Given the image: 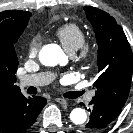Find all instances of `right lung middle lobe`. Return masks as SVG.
I'll return each instance as SVG.
<instances>
[{"instance_id":"right-lung-middle-lobe-1","label":"right lung middle lobe","mask_w":133,"mask_h":133,"mask_svg":"<svg viewBox=\"0 0 133 133\" xmlns=\"http://www.w3.org/2000/svg\"><path fill=\"white\" fill-rule=\"evenodd\" d=\"M24 29L5 36L0 35V77L3 79L15 80L14 74L18 68V60L14 44Z\"/></svg>"}]
</instances>
